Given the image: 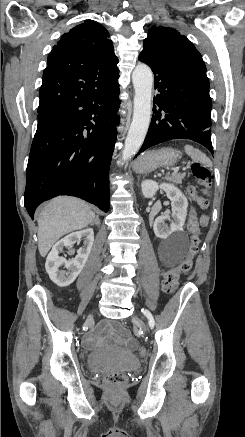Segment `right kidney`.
<instances>
[{
  "label": "right kidney",
  "mask_w": 245,
  "mask_h": 437,
  "mask_svg": "<svg viewBox=\"0 0 245 437\" xmlns=\"http://www.w3.org/2000/svg\"><path fill=\"white\" fill-rule=\"evenodd\" d=\"M84 238L83 247L77 251V256L71 260L60 257L59 253L64 247H72L74 243ZM94 243V231L87 228L73 232L59 240L47 256L45 268L50 279L60 287L69 286L75 281L83 269ZM64 265L67 271L59 268Z\"/></svg>",
  "instance_id": "1"
}]
</instances>
